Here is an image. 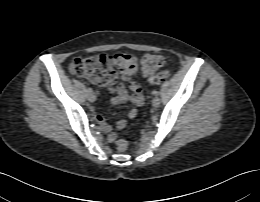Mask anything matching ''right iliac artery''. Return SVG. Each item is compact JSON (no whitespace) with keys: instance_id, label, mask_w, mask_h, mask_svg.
<instances>
[{"instance_id":"1","label":"right iliac artery","mask_w":260,"mask_h":202,"mask_svg":"<svg viewBox=\"0 0 260 202\" xmlns=\"http://www.w3.org/2000/svg\"><path fill=\"white\" fill-rule=\"evenodd\" d=\"M87 92H88L89 94H91V93H93V90H92L91 88H88V89H87Z\"/></svg>"}]
</instances>
